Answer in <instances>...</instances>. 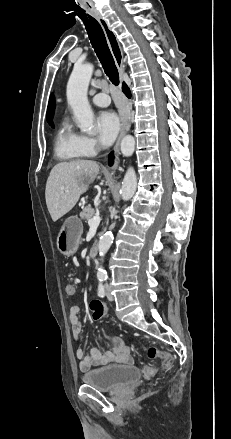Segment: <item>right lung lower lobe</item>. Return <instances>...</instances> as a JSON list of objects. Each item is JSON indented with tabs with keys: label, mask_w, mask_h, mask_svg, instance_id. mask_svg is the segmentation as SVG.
<instances>
[{
	"label": "right lung lower lobe",
	"mask_w": 231,
	"mask_h": 439,
	"mask_svg": "<svg viewBox=\"0 0 231 439\" xmlns=\"http://www.w3.org/2000/svg\"><path fill=\"white\" fill-rule=\"evenodd\" d=\"M122 90H123L124 94H125L128 98L131 97L130 90H129V88L127 87V85H126L125 83H124L123 86H122ZM112 163H113V152H111L110 155H109V164L111 165Z\"/></svg>",
	"instance_id": "obj_1"
}]
</instances>
